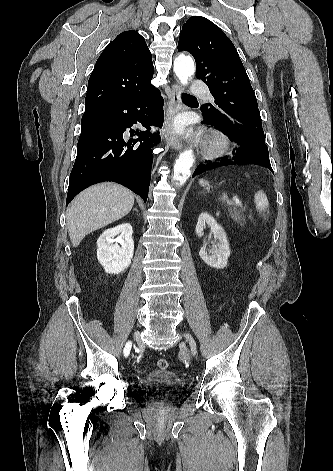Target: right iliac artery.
<instances>
[{"mask_svg":"<svg viewBox=\"0 0 333 471\" xmlns=\"http://www.w3.org/2000/svg\"><path fill=\"white\" fill-rule=\"evenodd\" d=\"M131 346H132V343L130 341H128L125 345V348H124V356H128L129 353H130V350H131Z\"/></svg>","mask_w":333,"mask_h":471,"instance_id":"right-iliac-artery-1","label":"right iliac artery"}]
</instances>
